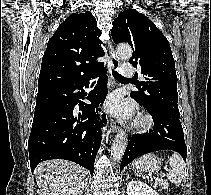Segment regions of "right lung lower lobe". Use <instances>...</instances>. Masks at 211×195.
I'll return each mask as SVG.
<instances>
[{
    "label": "right lung lower lobe",
    "instance_id": "1",
    "mask_svg": "<svg viewBox=\"0 0 211 195\" xmlns=\"http://www.w3.org/2000/svg\"><path fill=\"white\" fill-rule=\"evenodd\" d=\"M95 76L100 79L88 97L90 104L80 99L84 98L83 88L88 87L92 77L38 92L28 141L32 173L42 161L66 159L89 169L93 174L101 142L100 128L106 123L105 118L95 111L107 94L106 69L102 68Z\"/></svg>",
    "mask_w": 211,
    "mask_h": 195
}]
</instances>
